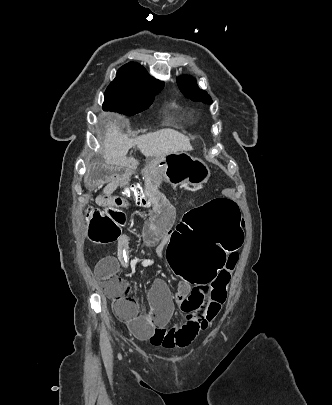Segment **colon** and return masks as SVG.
Masks as SVG:
<instances>
[{"mask_svg":"<svg viewBox=\"0 0 332 405\" xmlns=\"http://www.w3.org/2000/svg\"><path fill=\"white\" fill-rule=\"evenodd\" d=\"M148 189V184H127L122 196L130 197L143 212H153L154 204L145 195ZM86 216L89 238L96 243H110L121 234L125 210L89 207ZM240 221L238 202H232L231 197H210L209 202L193 205L192 211H187V220H179V227L166 240L164 268H168V275H179V280L189 281L191 287H208L211 281L210 297L200 321L202 329L219 315L227 300L237 262L233 254L239 253L243 243ZM103 290L112 299L119 317H135L138 300L127 280L109 274L103 281Z\"/></svg>","mask_w":332,"mask_h":405,"instance_id":"5ec220e1","label":"colon"}]
</instances>
